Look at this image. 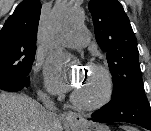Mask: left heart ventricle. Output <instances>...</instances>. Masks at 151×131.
I'll use <instances>...</instances> for the list:
<instances>
[{
    "label": "left heart ventricle",
    "mask_w": 151,
    "mask_h": 131,
    "mask_svg": "<svg viewBox=\"0 0 151 131\" xmlns=\"http://www.w3.org/2000/svg\"><path fill=\"white\" fill-rule=\"evenodd\" d=\"M79 83L74 87V94L83 99H92L96 97L102 90L103 80L99 73L87 69L81 75Z\"/></svg>",
    "instance_id": "b2bd125f"
}]
</instances>
